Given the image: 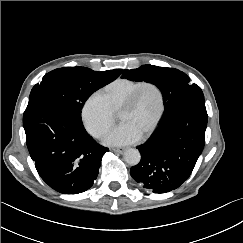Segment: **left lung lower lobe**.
I'll return each instance as SVG.
<instances>
[{"label":"left lung lower lobe","mask_w":243,"mask_h":243,"mask_svg":"<svg viewBox=\"0 0 243 243\" xmlns=\"http://www.w3.org/2000/svg\"><path fill=\"white\" fill-rule=\"evenodd\" d=\"M204 98L191 100L166 117L149 140L137 148L139 164L132 178L154 193H166L188 179L202 153L207 127Z\"/></svg>","instance_id":"0a47b994"}]
</instances>
